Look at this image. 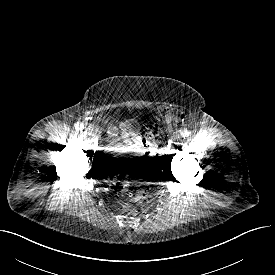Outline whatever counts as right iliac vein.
<instances>
[{
  "mask_svg": "<svg viewBox=\"0 0 275 275\" xmlns=\"http://www.w3.org/2000/svg\"><path fill=\"white\" fill-rule=\"evenodd\" d=\"M85 132H87V133H89V134H91L92 132H93V129H92V127H90V126H87V127H85Z\"/></svg>",
  "mask_w": 275,
  "mask_h": 275,
  "instance_id": "63e3f726",
  "label": "right iliac vein"
}]
</instances>
